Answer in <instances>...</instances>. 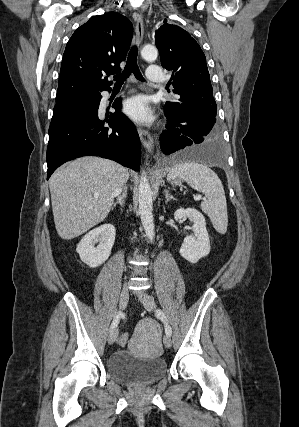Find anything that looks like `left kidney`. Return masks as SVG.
<instances>
[{
    "label": "left kidney",
    "instance_id": "left-kidney-1",
    "mask_svg": "<svg viewBox=\"0 0 299 427\" xmlns=\"http://www.w3.org/2000/svg\"><path fill=\"white\" fill-rule=\"evenodd\" d=\"M188 218L193 222V236L184 239L179 250L180 255L191 263H197L210 252V240L206 230V222L202 213L194 208H180L175 211L174 219L181 222Z\"/></svg>",
    "mask_w": 299,
    "mask_h": 427
}]
</instances>
